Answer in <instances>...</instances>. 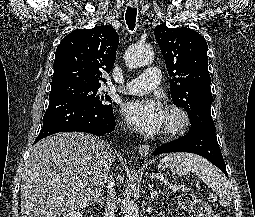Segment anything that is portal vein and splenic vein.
I'll list each match as a JSON object with an SVG mask.
<instances>
[{"instance_id":"1","label":"portal vein and splenic vein","mask_w":255,"mask_h":217,"mask_svg":"<svg viewBox=\"0 0 255 217\" xmlns=\"http://www.w3.org/2000/svg\"><path fill=\"white\" fill-rule=\"evenodd\" d=\"M177 189H181L183 192H188V191H190V188H188V187H186V186H184V185L177 187Z\"/></svg>"}]
</instances>
